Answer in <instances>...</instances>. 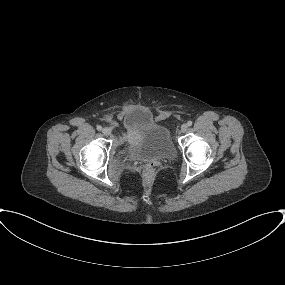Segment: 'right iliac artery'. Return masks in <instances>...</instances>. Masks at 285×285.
<instances>
[{"label":"right iliac artery","mask_w":285,"mask_h":285,"mask_svg":"<svg viewBox=\"0 0 285 285\" xmlns=\"http://www.w3.org/2000/svg\"><path fill=\"white\" fill-rule=\"evenodd\" d=\"M97 130H98V131H101V130H102V126L97 125Z\"/></svg>","instance_id":"82829eb1"}]
</instances>
